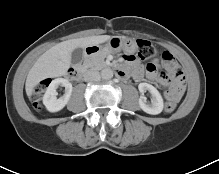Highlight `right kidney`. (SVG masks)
Segmentation results:
<instances>
[{
    "instance_id": "ca27d5eb",
    "label": "right kidney",
    "mask_w": 219,
    "mask_h": 174,
    "mask_svg": "<svg viewBox=\"0 0 219 174\" xmlns=\"http://www.w3.org/2000/svg\"><path fill=\"white\" fill-rule=\"evenodd\" d=\"M60 85L65 87V93L60 98H57L56 89ZM72 89V84L67 79H54L47 87V90L43 96V104L45 105L46 109L49 112H58L62 110L71 97Z\"/></svg>"
}]
</instances>
